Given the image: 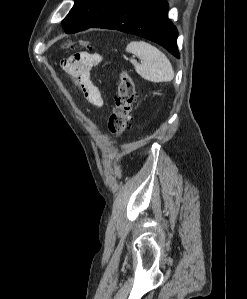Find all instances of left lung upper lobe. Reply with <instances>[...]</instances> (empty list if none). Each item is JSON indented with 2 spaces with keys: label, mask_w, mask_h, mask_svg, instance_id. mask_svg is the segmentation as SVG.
<instances>
[{
  "label": "left lung upper lobe",
  "mask_w": 247,
  "mask_h": 299,
  "mask_svg": "<svg viewBox=\"0 0 247 299\" xmlns=\"http://www.w3.org/2000/svg\"><path fill=\"white\" fill-rule=\"evenodd\" d=\"M124 0H75L62 21L65 32L75 33L90 28L95 22L117 8Z\"/></svg>",
  "instance_id": "obj_1"
}]
</instances>
